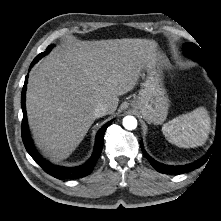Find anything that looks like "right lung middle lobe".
I'll return each instance as SVG.
<instances>
[{"label": "right lung middle lobe", "mask_w": 221, "mask_h": 221, "mask_svg": "<svg viewBox=\"0 0 221 221\" xmlns=\"http://www.w3.org/2000/svg\"><path fill=\"white\" fill-rule=\"evenodd\" d=\"M53 45H50L47 50L43 53H41L43 56H45L47 53H49V51L52 49Z\"/></svg>", "instance_id": "right-lung-middle-lobe-1"}]
</instances>
